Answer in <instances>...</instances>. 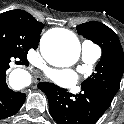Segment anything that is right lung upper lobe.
<instances>
[{
	"label": "right lung upper lobe",
	"mask_w": 124,
	"mask_h": 124,
	"mask_svg": "<svg viewBox=\"0 0 124 124\" xmlns=\"http://www.w3.org/2000/svg\"><path fill=\"white\" fill-rule=\"evenodd\" d=\"M4 14L17 19L39 43L43 29L42 23L38 22L31 14L18 9L4 12Z\"/></svg>",
	"instance_id": "obj_1"
}]
</instances>
